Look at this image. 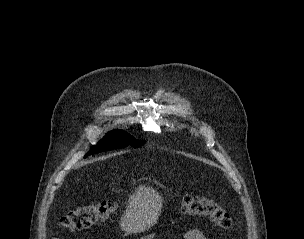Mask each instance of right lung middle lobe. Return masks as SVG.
Masks as SVG:
<instances>
[{
    "label": "right lung middle lobe",
    "instance_id": "dd1d6c3e",
    "mask_svg": "<svg viewBox=\"0 0 304 239\" xmlns=\"http://www.w3.org/2000/svg\"><path fill=\"white\" fill-rule=\"evenodd\" d=\"M145 143L144 140H136L134 137L122 130H114L109 132L97 146L93 147L87 155L100 153L106 150H112L117 148H124L128 145L134 148L140 147Z\"/></svg>",
    "mask_w": 304,
    "mask_h": 239
}]
</instances>
